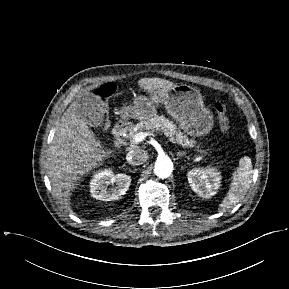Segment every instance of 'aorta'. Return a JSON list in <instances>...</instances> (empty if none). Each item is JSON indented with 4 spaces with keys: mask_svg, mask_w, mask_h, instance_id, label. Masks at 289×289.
I'll use <instances>...</instances> for the list:
<instances>
[{
    "mask_svg": "<svg viewBox=\"0 0 289 289\" xmlns=\"http://www.w3.org/2000/svg\"><path fill=\"white\" fill-rule=\"evenodd\" d=\"M173 170V163L167 156H160L157 158L154 166V173L159 178H167L171 175Z\"/></svg>",
    "mask_w": 289,
    "mask_h": 289,
    "instance_id": "aorta-1",
    "label": "aorta"
}]
</instances>
